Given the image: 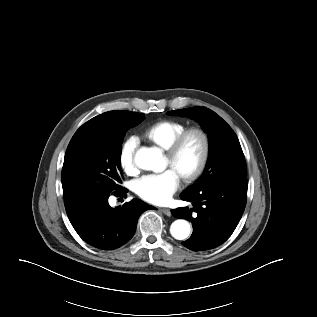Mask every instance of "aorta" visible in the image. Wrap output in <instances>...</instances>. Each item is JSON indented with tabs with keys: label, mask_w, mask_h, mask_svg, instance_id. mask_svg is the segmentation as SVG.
<instances>
[{
	"label": "aorta",
	"mask_w": 317,
	"mask_h": 317,
	"mask_svg": "<svg viewBox=\"0 0 317 317\" xmlns=\"http://www.w3.org/2000/svg\"><path fill=\"white\" fill-rule=\"evenodd\" d=\"M135 164L143 170L160 172L166 167L162 150L158 147H141L134 156ZM191 227L184 219L175 220L170 226L171 235L177 240L188 238Z\"/></svg>",
	"instance_id": "aorta-1"
}]
</instances>
